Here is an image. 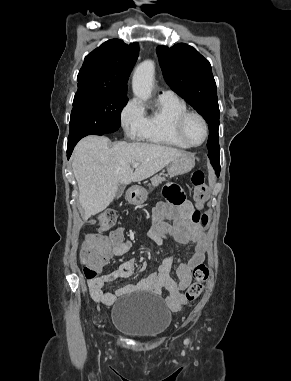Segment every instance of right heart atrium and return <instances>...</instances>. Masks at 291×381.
Here are the masks:
<instances>
[{"instance_id":"1","label":"right heart atrium","mask_w":291,"mask_h":381,"mask_svg":"<svg viewBox=\"0 0 291 381\" xmlns=\"http://www.w3.org/2000/svg\"><path fill=\"white\" fill-rule=\"evenodd\" d=\"M143 111L135 99H130L122 108L120 113L121 125L129 137L138 135L142 122Z\"/></svg>"}]
</instances>
